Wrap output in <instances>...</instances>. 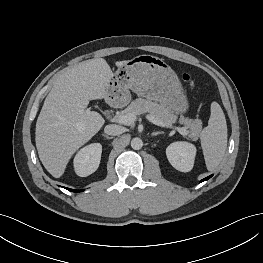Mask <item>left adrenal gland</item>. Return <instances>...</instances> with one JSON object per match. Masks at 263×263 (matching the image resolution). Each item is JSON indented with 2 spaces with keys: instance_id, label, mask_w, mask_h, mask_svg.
Masks as SVG:
<instances>
[{
  "instance_id": "obj_1",
  "label": "left adrenal gland",
  "mask_w": 263,
  "mask_h": 263,
  "mask_svg": "<svg viewBox=\"0 0 263 263\" xmlns=\"http://www.w3.org/2000/svg\"><path fill=\"white\" fill-rule=\"evenodd\" d=\"M159 134H164V132H163V131L153 132V133L151 134V136H157V135H159Z\"/></svg>"
}]
</instances>
